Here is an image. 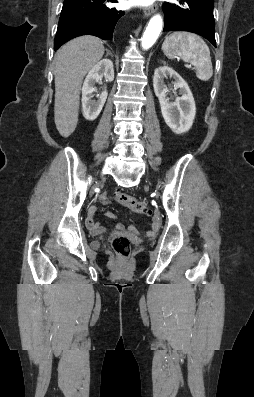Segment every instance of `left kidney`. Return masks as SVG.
<instances>
[{"label":"left kidney","mask_w":254,"mask_h":397,"mask_svg":"<svg viewBox=\"0 0 254 397\" xmlns=\"http://www.w3.org/2000/svg\"><path fill=\"white\" fill-rule=\"evenodd\" d=\"M167 76L174 79V90L179 89L181 97H167L169 90L164 83ZM153 87L168 127L176 134L187 132L192 127L196 114L195 101L188 84L172 68L161 66L155 69Z\"/></svg>","instance_id":"1"}]
</instances>
